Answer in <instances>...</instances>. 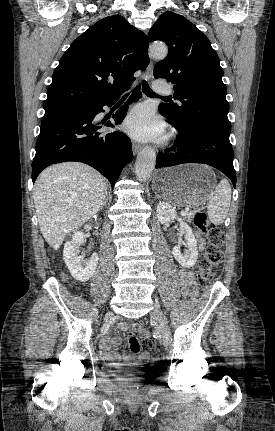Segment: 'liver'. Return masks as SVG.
Returning a JSON list of instances; mask_svg holds the SVG:
<instances>
[{"instance_id":"6515ba94","label":"liver","mask_w":275,"mask_h":431,"mask_svg":"<svg viewBox=\"0 0 275 431\" xmlns=\"http://www.w3.org/2000/svg\"><path fill=\"white\" fill-rule=\"evenodd\" d=\"M105 178L83 163L65 162L45 169L33 191L40 231L58 250L66 234L77 230L102 207Z\"/></svg>"}]
</instances>
